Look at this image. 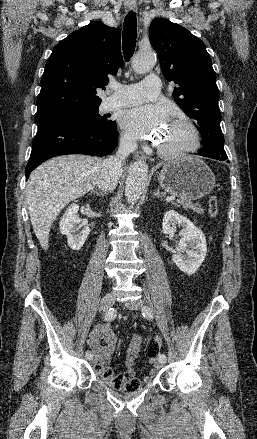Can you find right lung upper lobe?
<instances>
[{
  "instance_id": "obj_1",
  "label": "right lung upper lobe",
  "mask_w": 257,
  "mask_h": 439,
  "mask_svg": "<svg viewBox=\"0 0 257 439\" xmlns=\"http://www.w3.org/2000/svg\"><path fill=\"white\" fill-rule=\"evenodd\" d=\"M122 64L121 34L94 21L58 43L45 65L36 121L99 106L104 88Z\"/></svg>"
}]
</instances>
